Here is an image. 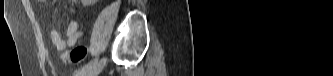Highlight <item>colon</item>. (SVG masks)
<instances>
[{
	"instance_id": "1",
	"label": "colon",
	"mask_w": 333,
	"mask_h": 76,
	"mask_svg": "<svg viewBox=\"0 0 333 76\" xmlns=\"http://www.w3.org/2000/svg\"><path fill=\"white\" fill-rule=\"evenodd\" d=\"M86 54L87 48L85 46H78L71 51L64 52L61 58L65 63H79L84 59Z\"/></svg>"
}]
</instances>
